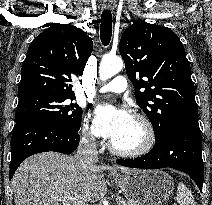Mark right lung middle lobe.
Wrapping results in <instances>:
<instances>
[{
  "instance_id": "dd1d6c3e",
  "label": "right lung middle lobe",
  "mask_w": 212,
  "mask_h": 205,
  "mask_svg": "<svg viewBox=\"0 0 212 205\" xmlns=\"http://www.w3.org/2000/svg\"><path fill=\"white\" fill-rule=\"evenodd\" d=\"M73 96L53 94H33L20 98L15 121L44 118L56 121L63 126L78 131L82 117V109L77 103H69Z\"/></svg>"
}]
</instances>
